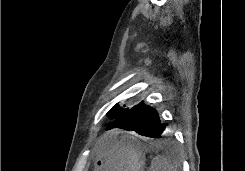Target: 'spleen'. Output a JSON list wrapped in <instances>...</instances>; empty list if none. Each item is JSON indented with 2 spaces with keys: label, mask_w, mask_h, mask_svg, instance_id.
<instances>
[{
  "label": "spleen",
  "mask_w": 245,
  "mask_h": 171,
  "mask_svg": "<svg viewBox=\"0 0 245 171\" xmlns=\"http://www.w3.org/2000/svg\"><path fill=\"white\" fill-rule=\"evenodd\" d=\"M149 171H177L174 165L164 156L158 155L153 158Z\"/></svg>",
  "instance_id": "spleen-1"
}]
</instances>
